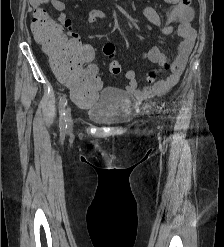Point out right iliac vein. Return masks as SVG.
Here are the masks:
<instances>
[{
    "label": "right iliac vein",
    "instance_id": "1",
    "mask_svg": "<svg viewBox=\"0 0 224 247\" xmlns=\"http://www.w3.org/2000/svg\"><path fill=\"white\" fill-rule=\"evenodd\" d=\"M65 113H66L65 117H66V121H67L68 130L71 131L72 128H73V120H72V116H71V109L69 107H67Z\"/></svg>",
    "mask_w": 224,
    "mask_h": 247
}]
</instances>
